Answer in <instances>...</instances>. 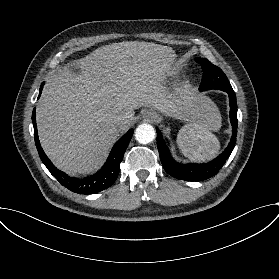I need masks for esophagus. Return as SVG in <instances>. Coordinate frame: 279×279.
<instances>
[{
    "label": "esophagus",
    "instance_id": "obj_1",
    "mask_svg": "<svg viewBox=\"0 0 279 279\" xmlns=\"http://www.w3.org/2000/svg\"><path fill=\"white\" fill-rule=\"evenodd\" d=\"M143 118L149 122H154L158 118V114L153 110L146 109L143 111Z\"/></svg>",
    "mask_w": 279,
    "mask_h": 279
}]
</instances>
